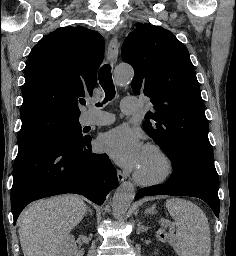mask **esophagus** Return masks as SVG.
<instances>
[{"label": "esophagus", "mask_w": 236, "mask_h": 256, "mask_svg": "<svg viewBox=\"0 0 236 256\" xmlns=\"http://www.w3.org/2000/svg\"><path fill=\"white\" fill-rule=\"evenodd\" d=\"M118 53H119L118 41L116 37H113L109 42L108 53H107L108 60L111 62L112 65L116 63L118 58ZM117 177L120 182L126 179L125 174H123L122 171L120 170H117Z\"/></svg>", "instance_id": "1"}]
</instances>
